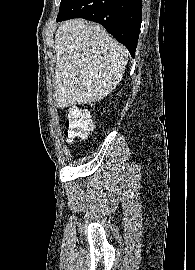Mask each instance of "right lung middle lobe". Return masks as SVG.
Instances as JSON below:
<instances>
[{
  "instance_id": "obj_1",
  "label": "right lung middle lobe",
  "mask_w": 195,
  "mask_h": 270,
  "mask_svg": "<svg viewBox=\"0 0 195 270\" xmlns=\"http://www.w3.org/2000/svg\"><path fill=\"white\" fill-rule=\"evenodd\" d=\"M74 0H61L59 14L64 12Z\"/></svg>"
}]
</instances>
